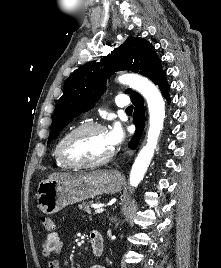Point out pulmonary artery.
Returning <instances> with one entry per match:
<instances>
[{
	"label": "pulmonary artery",
	"instance_id": "pulmonary-artery-1",
	"mask_svg": "<svg viewBox=\"0 0 221 268\" xmlns=\"http://www.w3.org/2000/svg\"><path fill=\"white\" fill-rule=\"evenodd\" d=\"M115 104L118 107H126L129 105V98L123 94L117 95L115 98Z\"/></svg>",
	"mask_w": 221,
	"mask_h": 268
}]
</instances>
